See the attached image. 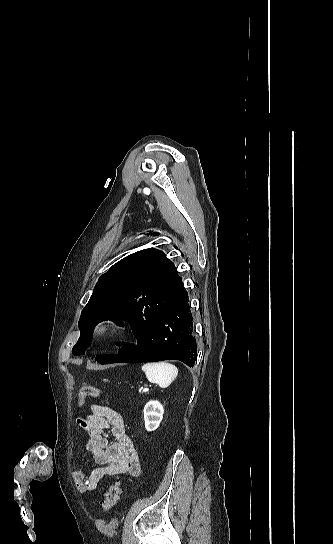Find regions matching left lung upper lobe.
Returning <instances> with one entry per match:
<instances>
[{
  "instance_id": "left-lung-upper-lobe-1",
  "label": "left lung upper lobe",
  "mask_w": 333,
  "mask_h": 544,
  "mask_svg": "<svg viewBox=\"0 0 333 544\" xmlns=\"http://www.w3.org/2000/svg\"><path fill=\"white\" fill-rule=\"evenodd\" d=\"M184 291L174 265L161 251L145 249L123 258L100 277L83 309L79 320L81 336L73 354L85 352L90 331L99 321L126 319L133 327L153 320Z\"/></svg>"
}]
</instances>
